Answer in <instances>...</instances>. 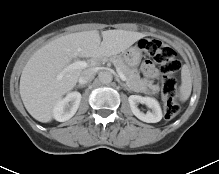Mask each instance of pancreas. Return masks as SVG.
<instances>
[{"label": "pancreas", "mask_w": 219, "mask_h": 174, "mask_svg": "<svg viewBox=\"0 0 219 174\" xmlns=\"http://www.w3.org/2000/svg\"><path fill=\"white\" fill-rule=\"evenodd\" d=\"M109 60L115 65V67L120 68L126 77L127 86L134 91L144 92L147 88H150L153 92L159 91L158 85H153V81L142 79L135 68H130L121 56L114 55L110 56Z\"/></svg>", "instance_id": "obj_1"}]
</instances>
